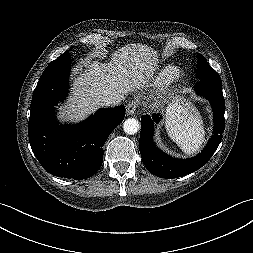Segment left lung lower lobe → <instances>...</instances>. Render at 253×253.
I'll use <instances>...</instances> for the list:
<instances>
[{"mask_svg":"<svg viewBox=\"0 0 253 253\" xmlns=\"http://www.w3.org/2000/svg\"><path fill=\"white\" fill-rule=\"evenodd\" d=\"M194 89L209 99L214 114L213 136L206 147L197 156L190 159L172 158L159 150L153 143L154 124L160 120V114L143 115L139 148L143 163L148 171L161 178H177L192 173L204 166L218 148L224 132L225 101L222 93V82L201 79Z\"/></svg>","mask_w":253,"mask_h":253,"instance_id":"1","label":"left lung lower lobe"}]
</instances>
